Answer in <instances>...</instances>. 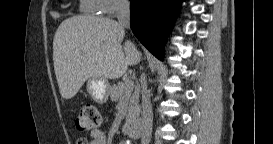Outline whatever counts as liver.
<instances>
[{
    "label": "liver",
    "mask_w": 273,
    "mask_h": 144,
    "mask_svg": "<svg viewBox=\"0 0 273 144\" xmlns=\"http://www.w3.org/2000/svg\"><path fill=\"white\" fill-rule=\"evenodd\" d=\"M117 21L90 15L64 20L53 39V63L62 98H73L86 80L117 79L141 54Z\"/></svg>",
    "instance_id": "1"
}]
</instances>
